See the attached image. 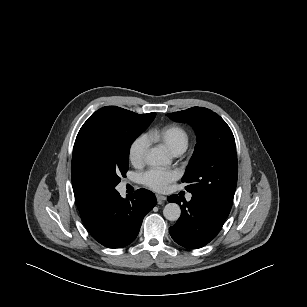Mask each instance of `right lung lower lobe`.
<instances>
[{"mask_svg":"<svg viewBox=\"0 0 307 307\" xmlns=\"http://www.w3.org/2000/svg\"><path fill=\"white\" fill-rule=\"evenodd\" d=\"M156 205L155 195L139 189L122 198L116 191L84 223L92 237L108 248H122L137 237L144 216Z\"/></svg>","mask_w":307,"mask_h":307,"instance_id":"right-lung-lower-lobe-1","label":"right lung lower lobe"}]
</instances>
